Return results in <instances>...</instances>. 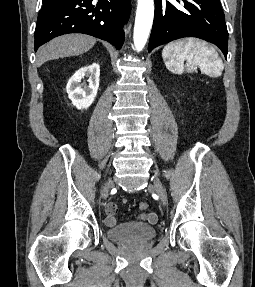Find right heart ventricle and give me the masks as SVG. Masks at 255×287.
Segmentation results:
<instances>
[{
    "label": "right heart ventricle",
    "instance_id": "1",
    "mask_svg": "<svg viewBox=\"0 0 255 287\" xmlns=\"http://www.w3.org/2000/svg\"><path fill=\"white\" fill-rule=\"evenodd\" d=\"M102 48H118V47H102Z\"/></svg>",
    "mask_w": 255,
    "mask_h": 287
}]
</instances>
